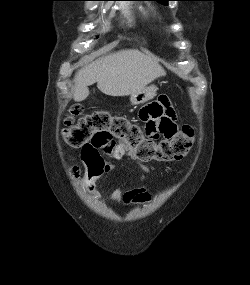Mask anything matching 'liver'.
I'll return each mask as SVG.
<instances>
[{
  "instance_id": "1",
  "label": "liver",
  "mask_w": 250,
  "mask_h": 285,
  "mask_svg": "<svg viewBox=\"0 0 250 285\" xmlns=\"http://www.w3.org/2000/svg\"><path fill=\"white\" fill-rule=\"evenodd\" d=\"M164 75L165 70L150 55L137 49L120 50L77 71L73 98L76 102L85 100L90 93L88 86L96 82L98 89L106 95H131Z\"/></svg>"
}]
</instances>
